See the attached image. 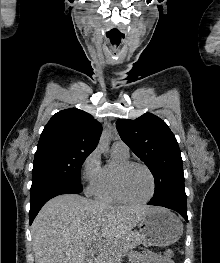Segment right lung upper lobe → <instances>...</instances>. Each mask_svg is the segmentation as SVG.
Here are the masks:
<instances>
[{"instance_id": "1", "label": "right lung upper lobe", "mask_w": 220, "mask_h": 263, "mask_svg": "<svg viewBox=\"0 0 220 263\" xmlns=\"http://www.w3.org/2000/svg\"><path fill=\"white\" fill-rule=\"evenodd\" d=\"M101 132L102 125L89 113L77 108L65 109L47 123L36 152L57 148L93 151Z\"/></svg>"}]
</instances>
